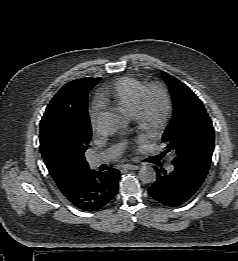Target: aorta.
<instances>
[{
	"label": "aorta",
	"mask_w": 238,
	"mask_h": 261,
	"mask_svg": "<svg viewBox=\"0 0 238 261\" xmlns=\"http://www.w3.org/2000/svg\"><path fill=\"white\" fill-rule=\"evenodd\" d=\"M125 126V118L115 112L103 113L98 119V131L104 136L113 135ZM138 176L143 183L156 181V171L151 166H143L139 170Z\"/></svg>",
	"instance_id": "1"
}]
</instances>
